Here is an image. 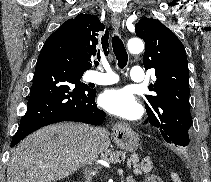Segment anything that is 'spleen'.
<instances>
[{"instance_id": "obj_1", "label": "spleen", "mask_w": 211, "mask_h": 182, "mask_svg": "<svg viewBox=\"0 0 211 182\" xmlns=\"http://www.w3.org/2000/svg\"><path fill=\"white\" fill-rule=\"evenodd\" d=\"M171 179L173 182H181L179 176L177 175V173L171 172Z\"/></svg>"}]
</instances>
